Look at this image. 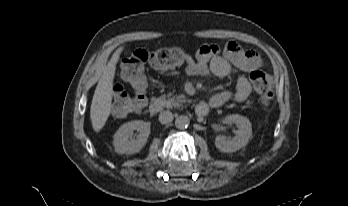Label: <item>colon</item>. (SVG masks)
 <instances>
[{"label":"colon","instance_id":"5ec220e1","mask_svg":"<svg viewBox=\"0 0 348 206\" xmlns=\"http://www.w3.org/2000/svg\"><path fill=\"white\" fill-rule=\"evenodd\" d=\"M215 50L218 51V47ZM186 60L185 54L177 48H161L153 51L136 49L121 63L122 77L131 86L128 93L121 85H117L113 96V110L119 115L138 113L146 103L147 80L144 68L149 64L152 68L168 71L179 67ZM249 81L259 96L262 109H269L272 104L274 77L266 72L254 70L249 74Z\"/></svg>","mask_w":348,"mask_h":206}]
</instances>
